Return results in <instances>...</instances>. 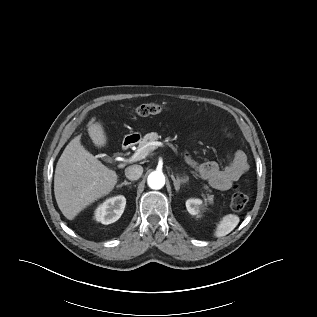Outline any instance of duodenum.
Here are the masks:
<instances>
[{
  "mask_svg": "<svg viewBox=\"0 0 317 317\" xmlns=\"http://www.w3.org/2000/svg\"><path fill=\"white\" fill-rule=\"evenodd\" d=\"M139 140V136L138 135H130L127 136L122 143V148L123 150H128L130 149L132 146H134Z\"/></svg>",
  "mask_w": 317,
  "mask_h": 317,
  "instance_id": "1",
  "label": "duodenum"
}]
</instances>
